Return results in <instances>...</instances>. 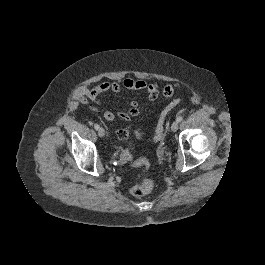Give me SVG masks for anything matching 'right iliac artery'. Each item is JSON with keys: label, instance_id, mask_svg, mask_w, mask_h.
<instances>
[{"label": "right iliac artery", "instance_id": "1", "mask_svg": "<svg viewBox=\"0 0 265 265\" xmlns=\"http://www.w3.org/2000/svg\"><path fill=\"white\" fill-rule=\"evenodd\" d=\"M94 128H95L96 130H98V129H99V125H98V124H94Z\"/></svg>", "mask_w": 265, "mask_h": 265}]
</instances>
